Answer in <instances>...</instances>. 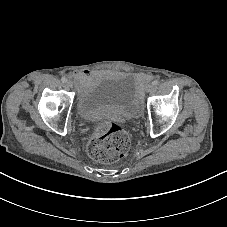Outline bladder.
Wrapping results in <instances>:
<instances>
[{
  "mask_svg": "<svg viewBox=\"0 0 227 227\" xmlns=\"http://www.w3.org/2000/svg\"><path fill=\"white\" fill-rule=\"evenodd\" d=\"M142 98L136 80L130 75L117 79L105 77L88 87L79 98L75 113L85 119L115 114L132 120L142 108Z\"/></svg>",
  "mask_w": 227,
  "mask_h": 227,
  "instance_id": "31cf9c89",
  "label": "bladder"
}]
</instances>
